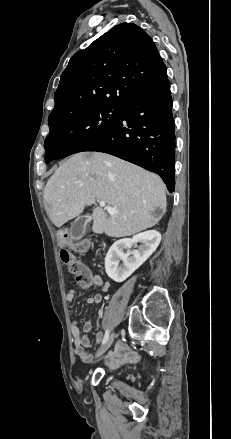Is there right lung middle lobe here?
<instances>
[{"label": "right lung middle lobe", "instance_id": "dd1d6c3e", "mask_svg": "<svg viewBox=\"0 0 231 439\" xmlns=\"http://www.w3.org/2000/svg\"><path fill=\"white\" fill-rule=\"evenodd\" d=\"M120 111L93 107L49 120L50 134L44 143L46 163L84 151L117 124Z\"/></svg>", "mask_w": 231, "mask_h": 439}]
</instances>
